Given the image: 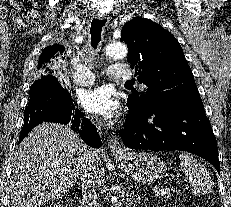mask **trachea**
Returning a JSON list of instances; mask_svg holds the SVG:
<instances>
[{"label": "trachea", "mask_w": 231, "mask_h": 207, "mask_svg": "<svg viewBox=\"0 0 231 207\" xmlns=\"http://www.w3.org/2000/svg\"><path fill=\"white\" fill-rule=\"evenodd\" d=\"M106 24V19H93L90 28L91 45L94 49H97L99 42L101 41L102 28Z\"/></svg>", "instance_id": "trachea-1"}]
</instances>
